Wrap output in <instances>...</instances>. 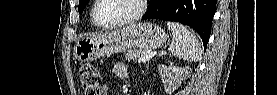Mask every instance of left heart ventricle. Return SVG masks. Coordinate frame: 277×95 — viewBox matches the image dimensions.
Here are the masks:
<instances>
[{
    "label": "left heart ventricle",
    "mask_w": 277,
    "mask_h": 95,
    "mask_svg": "<svg viewBox=\"0 0 277 95\" xmlns=\"http://www.w3.org/2000/svg\"><path fill=\"white\" fill-rule=\"evenodd\" d=\"M135 0H101L96 8V18L102 23L128 18L137 12Z\"/></svg>",
    "instance_id": "1"
}]
</instances>
